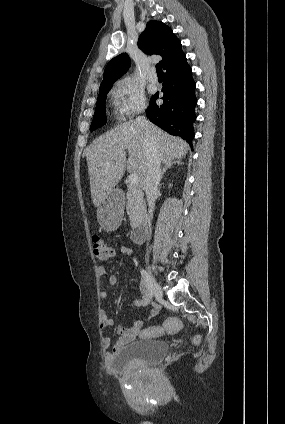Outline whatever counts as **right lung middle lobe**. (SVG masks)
<instances>
[{
    "mask_svg": "<svg viewBox=\"0 0 285 424\" xmlns=\"http://www.w3.org/2000/svg\"><path fill=\"white\" fill-rule=\"evenodd\" d=\"M112 85L102 87L99 89V95L96 103V109L93 117V121L90 126V130L93 131L104 124H106V115H105V101L107 93L111 89Z\"/></svg>",
    "mask_w": 285,
    "mask_h": 424,
    "instance_id": "dd1d6c3e",
    "label": "right lung middle lobe"
}]
</instances>
